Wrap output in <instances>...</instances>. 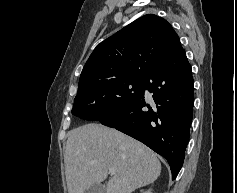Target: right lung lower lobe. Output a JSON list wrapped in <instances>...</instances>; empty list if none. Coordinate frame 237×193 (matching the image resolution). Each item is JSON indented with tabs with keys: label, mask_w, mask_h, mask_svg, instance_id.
<instances>
[{
	"label": "right lung lower lobe",
	"mask_w": 237,
	"mask_h": 193,
	"mask_svg": "<svg viewBox=\"0 0 237 193\" xmlns=\"http://www.w3.org/2000/svg\"><path fill=\"white\" fill-rule=\"evenodd\" d=\"M193 78L184 49L144 77L140 94L118 112L100 119L150 147L169 163L172 179L180 171L193 116ZM152 93L147 103L144 91Z\"/></svg>",
	"instance_id": "1"
}]
</instances>
